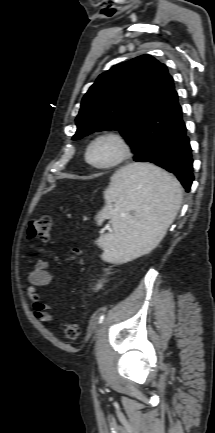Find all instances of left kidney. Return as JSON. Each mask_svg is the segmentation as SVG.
<instances>
[{"instance_id": "left-kidney-1", "label": "left kidney", "mask_w": 215, "mask_h": 433, "mask_svg": "<svg viewBox=\"0 0 215 433\" xmlns=\"http://www.w3.org/2000/svg\"><path fill=\"white\" fill-rule=\"evenodd\" d=\"M102 287V284L97 285V289H100Z\"/></svg>"}]
</instances>
